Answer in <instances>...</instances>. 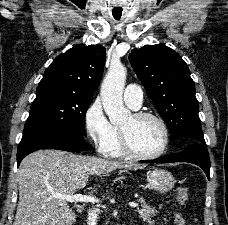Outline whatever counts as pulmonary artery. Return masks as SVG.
Wrapping results in <instances>:
<instances>
[{"label":"pulmonary artery","instance_id":"1","mask_svg":"<svg viewBox=\"0 0 228 225\" xmlns=\"http://www.w3.org/2000/svg\"><path fill=\"white\" fill-rule=\"evenodd\" d=\"M123 97L125 104L133 110H138L143 103V94L140 85H127Z\"/></svg>","mask_w":228,"mask_h":225}]
</instances>
